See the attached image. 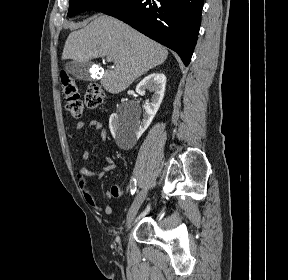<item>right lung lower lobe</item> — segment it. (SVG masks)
<instances>
[{
    "mask_svg": "<svg viewBox=\"0 0 288 280\" xmlns=\"http://www.w3.org/2000/svg\"><path fill=\"white\" fill-rule=\"evenodd\" d=\"M204 0H122L101 12L116 17L175 51L188 66Z\"/></svg>",
    "mask_w": 288,
    "mask_h": 280,
    "instance_id": "1",
    "label": "right lung lower lobe"
}]
</instances>
